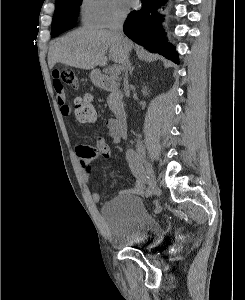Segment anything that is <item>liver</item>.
<instances>
[{"label": "liver", "mask_w": 245, "mask_h": 300, "mask_svg": "<svg viewBox=\"0 0 245 300\" xmlns=\"http://www.w3.org/2000/svg\"><path fill=\"white\" fill-rule=\"evenodd\" d=\"M128 52L133 44L127 40ZM109 51L113 62L124 68V50L122 43L110 30L83 28L72 31L58 39L50 47L48 65L52 69L56 63L80 69H94L107 63Z\"/></svg>", "instance_id": "6515ba94"}]
</instances>
